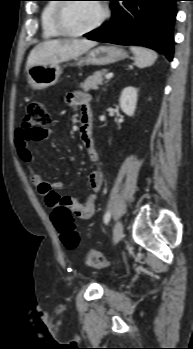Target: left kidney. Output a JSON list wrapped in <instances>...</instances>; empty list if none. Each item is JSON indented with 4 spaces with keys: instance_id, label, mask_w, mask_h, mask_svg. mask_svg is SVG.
I'll use <instances>...</instances> for the list:
<instances>
[{
    "instance_id": "left-kidney-1",
    "label": "left kidney",
    "mask_w": 193,
    "mask_h": 349,
    "mask_svg": "<svg viewBox=\"0 0 193 349\" xmlns=\"http://www.w3.org/2000/svg\"><path fill=\"white\" fill-rule=\"evenodd\" d=\"M137 89L134 87H126L120 95L119 103L121 110L128 116H133L137 104Z\"/></svg>"
}]
</instances>
